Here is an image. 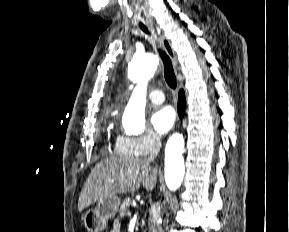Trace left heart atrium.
Returning a JSON list of instances; mask_svg holds the SVG:
<instances>
[{
	"instance_id": "obj_1",
	"label": "left heart atrium",
	"mask_w": 289,
	"mask_h": 232,
	"mask_svg": "<svg viewBox=\"0 0 289 232\" xmlns=\"http://www.w3.org/2000/svg\"><path fill=\"white\" fill-rule=\"evenodd\" d=\"M150 122L158 135L166 134L174 125L175 112L170 106L157 107L153 110Z\"/></svg>"
}]
</instances>
